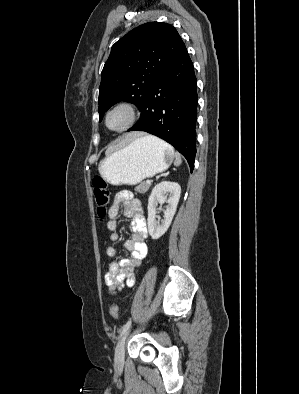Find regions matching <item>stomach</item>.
Returning <instances> with one entry per match:
<instances>
[{"mask_svg": "<svg viewBox=\"0 0 299 394\" xmlns=\"http://www.w3.org/2000/svg\"><path fill=\"white\" fill-rule=\"evenodd\" d=\"M171 150L153 137L134 139L127 146L110 153L100 163V174L114 185H136L143 179L165 171L173 162Z\"/></svg>", "mask_w": 299, "mask_h": 394, "instance_id": "0dacf381", "label": "stomach"}]
</instances>
